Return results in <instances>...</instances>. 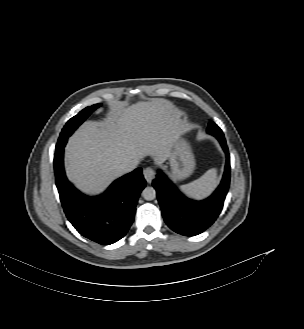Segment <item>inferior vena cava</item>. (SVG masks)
I'll use <instances>...</instances> for the list:
<instances>
[{"mask_svg":"<svg viewBox=\"0 0 304 329\" xmlns=\"http://www.w3.org/2000/svg\"><path fill=\"white\" fill-rule=\"evenodd\" d=\"M136 165H137L136 160H126L119 165V170L121 172H129L133 170L136 167Z\"/></svg>","mask_w":304,"mask_h":329,"instance_id":"obj_1","label":"inferior vena cava"}]
</instances>
